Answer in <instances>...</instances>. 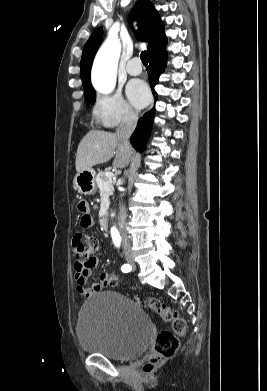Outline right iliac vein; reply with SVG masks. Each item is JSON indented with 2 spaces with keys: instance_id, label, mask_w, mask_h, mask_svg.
Masks as SVG:
<instances>
[{
  "instance_id": "right-iliac-vein-1",
  "label": "right iliac vein",
  "mask_w": 267,
  "mask_h": 391,
  "mask_svg": "<svg viewBox=\"0 0 267 391\" xmlns=\"http://www.w3.org/2000/svg\"><path fill=\"white\" fill-rule=\"evenodd\" d=\"M127 261L129 264L133 265L134 262H133V258L131 256H127Z\"/></svg>"
}]
</instances>
